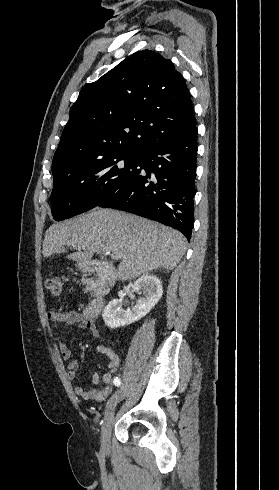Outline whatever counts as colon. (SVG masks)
<instances>
[{
    "label": "colon",
    "mask_w": 279,
    "mask_h": 490,
    "mask_svg": "<svg viewBox=\"0 0 279 490\" xmlns=\"http://www.w3.org/2000/svg\"><path fill=\"white\" fill-rule=\"evenodd\" d=\"M62 281L57 277L49 278L45 282L46 290L53 296L59 297L62 294Z\"/></svg>",
    "instance_id": "5ec220e1"
}]
</instances>
